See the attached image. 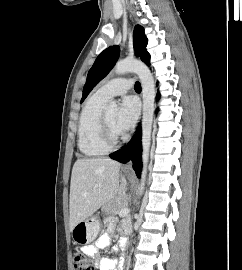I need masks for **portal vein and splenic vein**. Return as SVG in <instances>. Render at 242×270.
Masks as SVG:
<instances>
[{
	"mask_svg": "<svg viewBox=\"0 0 242 270\" xmlns=\"http://www.w3.org/2000/svg\"><path fill=\"white\" fill-rule=\"evenodd\" d=\"M129 211H130L129 208H123L118 212V214L119 215H124V214H127Z\"/></svg>",
	"mask_w": 242,
	"mask_h": 270,
	"instance_id": "obj_1",
	"label": "portal vein and splenic vein"
}]
</instances>
